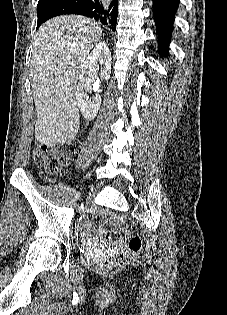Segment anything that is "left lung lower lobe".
I'll list each match as a JSON object with an SVG mask.
<instances>
[{"mask_svg": "<svg viewBox=\"0 0 227 315\" xmlns=\"http://www.w3.org/2000/svg\"><path fill=\"white\" fill-rule=\"evenodd\" d=\"M179 0H153V16L159 37L158 53L167 56L172 25Z\"/></svg>", "mask_w": 227, "mask_h": 315, "instance_id": "0a47b994", "label": "left lung lower lobe"}]
</instances>
